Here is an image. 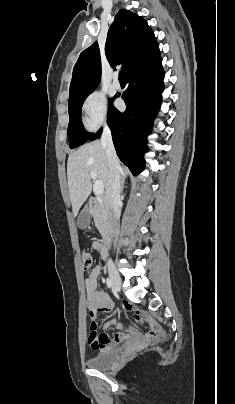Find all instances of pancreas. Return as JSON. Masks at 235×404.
Instances as JSON below:
<instances>
[{
  "instance_id": "obj_1",
  "label": "pancreas",
  "mask_w": 235,
  "mask_h": 404,
  "mask_svg": "<svg viewBox=\"0 0 235 404\" xmlns=\"http://www.w3.org/2000/svg\"><path fill=\"white\" fill-rule=\"evenodd\" d=\"M93 217L95 226L97 227L101 235H104L106 232V224L108 218V211L106 206L104 204L97 205L93 211Z\"/></svg>"
}]
</instances>
